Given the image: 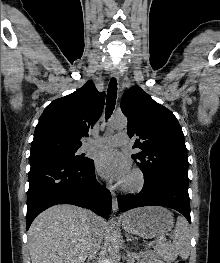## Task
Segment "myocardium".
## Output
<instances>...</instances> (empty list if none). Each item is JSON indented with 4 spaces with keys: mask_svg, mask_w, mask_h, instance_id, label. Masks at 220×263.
I'll return each instance as SVG.
<instances>
[{
    "mask_svg": "<svg viewBox=\"0 0 220 263\" xmlns=\"http://www.w3.org/2000/svg\"><path fill=\"white\" fill-rule=\"evenodd\" d=\"M130 175L134 178V182L132 184L122 183L120 186L121 191L128 194H133L141 191L145 184V176L143 172L140 169L136 168L132 170Z\"/></svg>",
    "mask_w": 220,
    "mask_h": 263,
    "instance_id": "1",
    "label": "myocardium"
}]
</instances>
